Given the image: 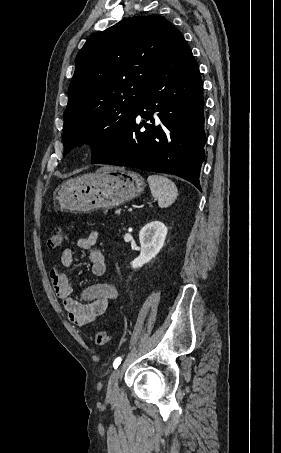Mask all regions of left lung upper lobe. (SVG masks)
Wrapping results in <instances>:
<instances>
[{"mask_svg":"<svg viewBox=\"0 0 281 453\" xmlns=\"http://www.w3.org/2000/svg\"><path fill=\"white\" fill-rule=\"evenodd\" d=\"M180 32L159 15L134 16L90 37L76 57L64 112V155L84 142L92 163L122 136Z\"/></svg>","mask_w":281,"mask_h":453,"instance_id":"1","label":"left lung upper lobe"}]
</instances>
